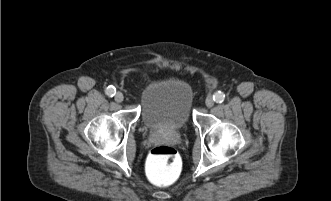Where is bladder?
I'll return each instance as SVG.
<instances>
[{
    "mask_svg": "<svg viewBox=\"0 0 331 201\" xmlns=\"http://www.w3.org/2000/svg\"><path fill=\"white\" fill-rule=\"evenodd\" d=\"M141 103V121L146 128L181 129L192 115L193 91L184 80L161 78L144 88Z\"/></svg>",
    "mask_w": 331,
    "mask_h": 201,
    "instance_id": "1",
    "label": "bladder"
}]
</instances>
